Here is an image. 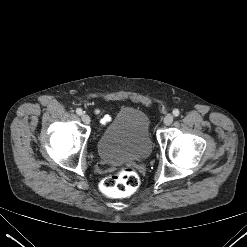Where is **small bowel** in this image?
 Instances as JSON below:
<instances>
[{"label":"small bowel","mask_w":247,"mask_h":247,"mask_svg":"<svg viewBox=\"0 0 247 247\" xmlns=\"http://www.w3.org/2000/svg\"><path fill=\"white\" fill-rule=\"evenodd\" d=\"M110 116L109 115H104L103 117H102V123L103 124H105V123H107V122H109L110 121Z\"/></svg>","instance_id":"1"}]
</instances>
